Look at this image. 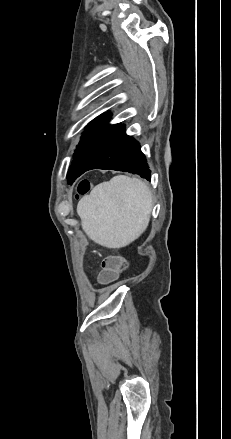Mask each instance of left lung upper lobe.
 <instances>
[{
	"label": "left lung upper lobe",
	"mask_w": 231,
	"mask_h": 439,
	"mask_svg": "<svg viewBox=\"0 0 231 439\" xmlns=\"http://www.w3.org/2000/svg\"><path fill=\"white\" fill-rule=\"evenodd\" d=\"M111 115V113H104L86 126L67 175L70 184L91 164L105 141L120 126V124H108Z\"/></svg>",
	"instance_id": "obj_1"
}]
</instances>
